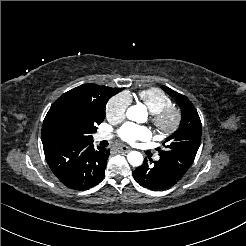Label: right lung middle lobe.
<instances>
[{"label": "right lung middle lobe", "mask_w": 246, "mask_h": 246, "mask_svg": "<svg viewBox=\"0 0 246 246\" xmlns=\"http://www.w3.org/2000/svg\"><path fill=\"white\" fill-rule=\"evenodd\" d=\"M105 118V108L78 110L65 108L48 123L46 142H91L92 133Z\"/></svg>", "instance_id": "dd1d6c3e"}]
</instances>
